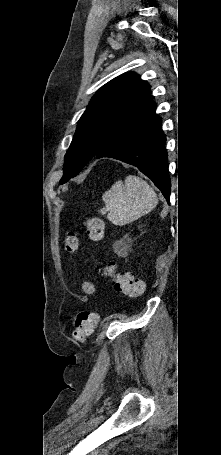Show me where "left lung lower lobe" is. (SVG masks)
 <instances>
[{
    "label": "left lung lower lobe",
    "instance_id": "left-lung-lower-lobe-1",
    "mask_svg": "<svg viewBox=\"0 0 221 455\" xmlns=\"http://www.w3.org/2000/svg\"><path fill=\"white\" fill-rule=\"evenodd\" d=\"M152 109L148 114L127 126L110 140L95 156L109 157L136 166L161 190L169 202L166 137L161 130V118Z\"/></svg>",
    "mask_w": 221,
    "mask_h": 455
}]
</instances>
